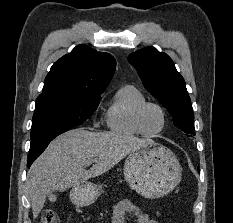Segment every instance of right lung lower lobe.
I'll return each instance as SVG.
<instances>
[{
    "label": "right lung lower lobe",
    "instance_id": "obj_1",
    "mask_svg": "<svg viewBox=\"0 0 233 223\" xmlns=\"http://www.w3.org/2000/svg\"><path fill=\"white\" fill-rule=\"evenodd\" d=\"M40 154H32V155H28V159H27V163H28V167L31 166L32 162L39 156Z\"/></svg>",
    "mask_w": 233,
    "mask_h": 223
}]
</instances>
